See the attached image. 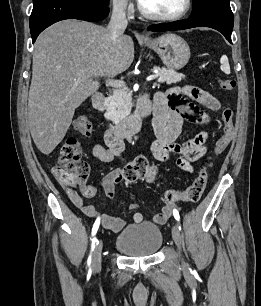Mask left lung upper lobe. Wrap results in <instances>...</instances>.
Masks as SVG:
<instances>
[{
    "label": "left lung upper lobe",
    "instance_id": "1",
    "mask_svg": "<svg viewBox=\"0 0 261 306\" xmlns=\"http://www.w3.org/2000/svg\"><path fill=\"white\" fill-rule=\"evenodd\" d=\"M191 17H214L232 14L230 0H192Z\"/></svg>",
    "mask_w": 261,
    "mask_h": 306
}]
</instances>
